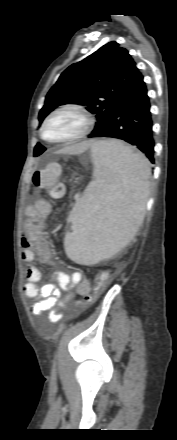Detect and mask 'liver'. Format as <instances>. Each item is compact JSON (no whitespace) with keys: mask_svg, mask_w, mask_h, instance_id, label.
<instances>
[{"mask_svg":"<svg viewBox=\"0 0 177 440\" xmlns=\"http://www.w3.org/2000/svg\"><path fill=\"white\" fill-rule=\"evenodd\" d=\"M93 145V141H83L81 143L65 147L60 152L63 154H79L86 151L89 147Z\"/></svg>","mask_w":177,"mask_h":440,"instance_id":"1","label":"liver"}]
</instances>
